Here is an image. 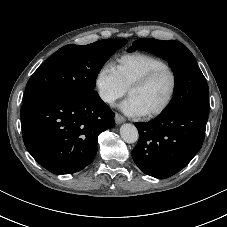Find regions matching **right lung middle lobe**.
<instances>
[{
	"instance_id": "obj_1",
	"label": "right lung middle lobe",
	"mask_w": 227,
	"mask_h": 227,
	"mask_svg": "<svg viewBox=\"0 0 227 227\" xmlns=\"http://www.w3.org/2000/svg\"><path fill=\"white\" fill-rule=\"evenodd\" d=\"M127 40L106 39L88 45H66L49 57L30 77L23 103L54 95H96V78L109 57Z\"/></svg>"
}]
</instances>
